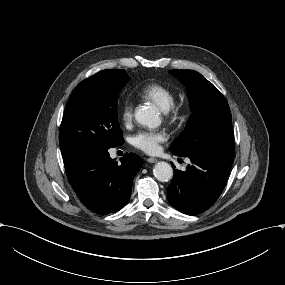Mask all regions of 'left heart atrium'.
Returning a JSON list of instances; mask_svg holds the SVG:
<instances>
[{"mask_svg":"<svg viewBox=\"0 0 285 285\" xmlns=\"http://www.w3.org/2000/svg\"><path fill=\"white\" fill-rule=\"evenodd\" d=\"M167 139V134L162 130H143L132 137V144L142 151L152 154L159 149V144Z\"/></svg>","mask_w":285,"mask_h":285,"instance_id":"39dd6f15","label":"left heart atrium"}]
</instances>
